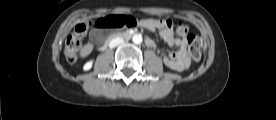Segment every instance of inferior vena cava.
<instances>
[{"label":"inferior vena cava","instance_id":"obj_1","mask_svg":"<svg viewBox=\"0 0 276 120\" xmlns=\"http://www.w3.org/2000/svg\"><path fill=\"white\" fill-rule=\"evenodd\" d=\"M121 43H123V39L122 38H115V39H112L110 41L109 47L110 48H115L116 46H118Z\"/></svg>","mask_w":276,"mask_h":120}]
</instances>
